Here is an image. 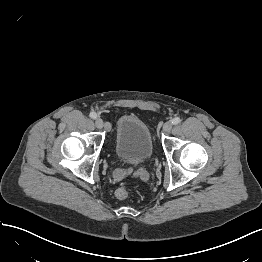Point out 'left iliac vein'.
I'll list each match as a JSON object with an SVG mask.
<instances>
[{"label":"left iliac vein","instance_id":"1","mask_svg":"<svg viewBox=\"0 0 262 262\" xmlns=\"http://www.w3.org/2000/svg\"><path fill=\"white\" fill-rule=\"evenodd\" d=\"M171 129H172V124H171V122H166V123L164 124V126H163V131H164L165 133H168V132L171 131Z\"/></svg>","mask_w":262,"mask_h":262}]
</instances>
